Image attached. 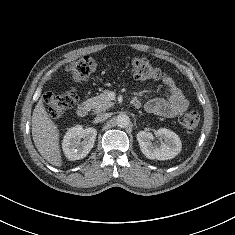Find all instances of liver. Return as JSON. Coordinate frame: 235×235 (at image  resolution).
<instances>
[{
	"label": "liver",
	"mask_w": 235,
	"mask_h": 235,
	"mask_svg": "<svg viewBox=\"0 0 235 235\" xmlns=\"http://www.w3.org/2000/svg\"><path fill=\"white\" fill-rule=\"evenodd\" d=\"M32 137L41 156L53 166H62L58 126L49 117L40 99L32 114Z\"/></svg>",
	"instance_id": "obj_1"
}]
</instances>
